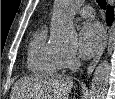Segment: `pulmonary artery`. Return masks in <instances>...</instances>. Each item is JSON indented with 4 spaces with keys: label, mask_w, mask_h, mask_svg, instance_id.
Masks as SVG:
<instances>
[{
    "label": "pulmonary artery",
    "mask_w": 115,
    "mask_h": 99,
    "mask_svg": "<svg viewBox=\"0 0 115 99\" xmlns=\"http://www.w3.org/2000/svg\"><path fill=\"white\" fill-rule=\"evenodd\" d=\"M81 17L85 19H92L95 16L94 10L91 6H84L79 10Z\"/></svg>",
    "instance_id": "1"
}]
</instances>
